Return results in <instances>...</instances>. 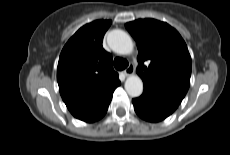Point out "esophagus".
Returning a JSON list of instances; mask_svg holds the SVG:
<instances>
[{"instance_id": "esophagus-1", "label": "esophagus", "mask_w": 230, "mask_h": 155, "mask_svg": "<svg viewBox=\"0 0 230 155\" xmlns=\"http://www.w3.org/2000/svg\"><path fill=\"white\" fill-rule=\"evenodd\" d=\"M134 73V66L133 64H130L125 70H124V74L126 76H130Z\"/></svg>"}]
</instances>
